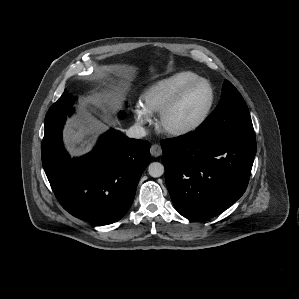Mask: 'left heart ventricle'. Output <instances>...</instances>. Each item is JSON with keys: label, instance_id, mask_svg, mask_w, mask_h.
<instances>
[{"label": "left heart ventricle", "instance_id": "b2bd125f", "mask_svg": "<svg viewBox=\"0 0 299 299\" xmlns=\"http://www.w3.org/2000/svg\"><path fill=\"white\" fill-rule=\"evenodd\" d=\"M210 98L206 85L189 90L166 117L169 127H183L195 122L205 110Z\"/></svg>", "mask_w": 299, "mask_h": 299}]
</instances>
